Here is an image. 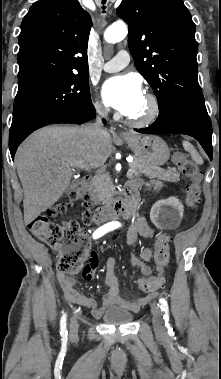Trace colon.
I'll return each mask as SVG.
<instances>
[{"label":"colon","instance_id":"1","mask_svg":"<svg viewBox=\"0 0 221 379\" xmlns=\"http://www.w3.org/2000/svg\"><path fill=\"white\" fill-rule=\"evenodd\" d=\"M174 161L179 170L190 179L186 189V203L194 208L201 200L202 173L198 165L181 154H175ZM81 202L85 208L82 214V222L88 224L92 220L90 192L80 186L75 187L69 196V202L60 203L50 208L46 215L34 218L28 225L31 233L50 247L60 251L58 270L63 273L76 274L81 272L83 264H88L89 240L87 233L79 223L66 221L57 223L50 218L63 213L71 202ZM171 237L166 233L160 234L154 246V260L156 274L151 277H140L136 280L138 288L143 292H154L159 289L164 281L163 273L170 261Z\"/></svg>","mask_w":221,"mask_h":379}]
</instances>
